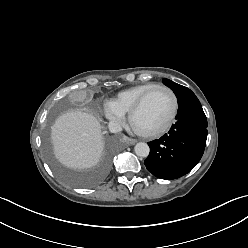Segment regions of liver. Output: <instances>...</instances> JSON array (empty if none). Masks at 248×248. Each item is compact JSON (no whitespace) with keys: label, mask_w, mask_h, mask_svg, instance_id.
Segmentation results:
<instances>
[{"label":"liver","mask_w":248,"mask_h":248,"mask_svg":"<svg viewBox=\"0 0 248 248\" xmlns=\"http://www.w3.org/2000/svg\"><path fill=\"white\" fill-rule=\"evenodd\" d=\"M51 139L56 158L73 169L95 166L104 150L100 121L87 112L61 115L51 128Z\"/></svg>","instance_id":"6515ba94"}]
</instances>
